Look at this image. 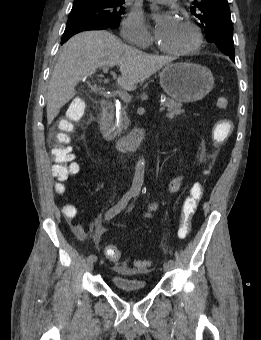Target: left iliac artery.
Returning a JSON list of instances; mask_svg holds the SVG:
<instances>
[{
  "label": "left iliac artery",
  "mask_w": 261,
  "mask_h": 340,
  "mask_svg": "<svg viewBox=\"0 0 261 340\" xmlns=\"http://www.w3.org/2000/svg\"><path fill=\"white\" fill-rule=\"evenodd\" d=\"M132 209V207L131 208H129V211ZM168 263L170 264V265H172V266H174L175 265V260L173 259V258H170V259H168Z\"/></svg>",
  "instance_id": "left-iliac-artery-1"
}]
</instances>
